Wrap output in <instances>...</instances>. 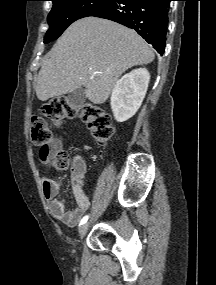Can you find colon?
I'll list each match as a JSON object with an SVG mask.
<instances>
[{
  "mask_svg": "<svg viewBox=\"0 0 216 285\" xmlns=\"http://www.w3.org/2000/svg\"><path fill=\"white\" fill-rule=\"evenodd\" d=\"M43 115L54 125L58 126L65 119L79 116L88 127L92 137L98 144H106L114 133L111 118L99 106L86 103L81 107H74L65 98H55L43 106ZM32 142L41 149H46L51 140V130L41 116H33L31 124ZM70 164L69 155L61 151L54 159V166L64 170Z\"/></svg>",
  "mask_w": 216,
  "mask_h": 285,
  "instance_id": "5ec220e1",
  "label": "colon"
}]
</instances>
